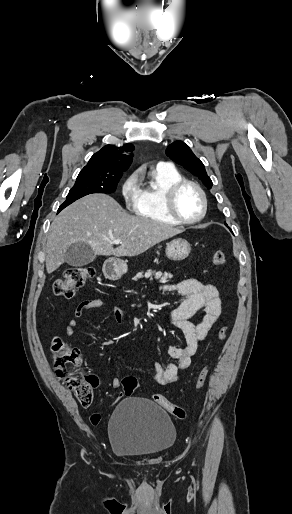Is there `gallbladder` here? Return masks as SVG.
Here are the masks:
<instances>
[{"mask_svg":"<svg viewBox=\"0 0 292 514\" xmlns=\"http://www.w3.org/2000/svg\"><path fill=\"white\" fill-rule=\"evenodd\" d=\"M95 258L96 254H94L90 244H86V242H75V244H71L65 254L66 264L76 266V268L91 264V262H94Z\"/></svg>","mask_w":292,"mask_h":514,"instance_id":"1","label":"gallbladder"}]
</instances>
